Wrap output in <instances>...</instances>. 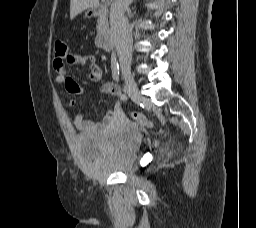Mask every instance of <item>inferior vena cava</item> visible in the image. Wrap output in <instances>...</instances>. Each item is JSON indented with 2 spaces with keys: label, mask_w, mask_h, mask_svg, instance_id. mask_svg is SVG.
Wrapping results in <instances>:
<instances>
[{
  "label": "inferior vena cava",
  "mask_w": 256,
  "mask_h": 228,
  "mask_svg": "<svg viewBox=\"0 0 256 228\" xmlns=\"http://www.w3.org/2000/svg\"><path fill=\"white\" fill-rule=\"evenodd\" d=\"M133 0H114L110 9L112 37L119 57L123 75L130 73L132 61V29L125 12Z\"/></svg>",
  "instance_id": "602c4592"
}]
</instances>
